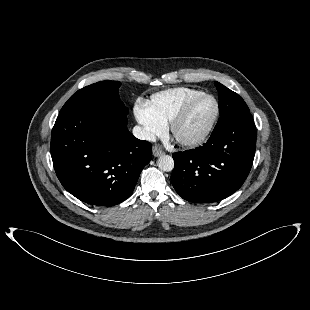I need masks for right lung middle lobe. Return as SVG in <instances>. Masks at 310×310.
Segmentation results:
<instances>
[{
	"mask_svg": "<svg viewBox=\"0 0 310 310\" xmlns=\"http://www.w3.org/2000/svg\"><path fill=\"white\" fill-rule=\"evenodd\" d=\"M120 85L118 81H101L84 87L70 97L60 113L84 106H96L127 115L128 108L124 106L118 94Z\"/></svg>",
	"mask_w": 310,
	"mask_h": 310,
	"instance_id": "dd1d6c3e",
	"label": "right lung middle lobe"
}]
</instances>
